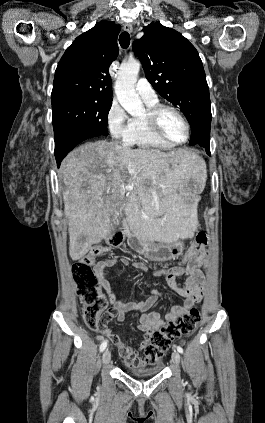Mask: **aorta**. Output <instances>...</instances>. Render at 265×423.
I'll list each match as a JSON object with an SVG mask.
<instances>
[{
	"mask_svg": "<svg viewBox=\"0 0 265 423\" xmlns=\"http://www.w3.org/2000/svg\"><path fill=\"white\" fill-rule=\"evenodd\" d=\"M139 70L138 61L123 63L119 68L114 87L120 105L132 116L140 115L145 110L134 88Z\"/></svg>",
	"mask_w": 265,
	"mask_h": 423,
	"instance_id": "762f6f07",
	"label": "aorta"
}]
</instances>
